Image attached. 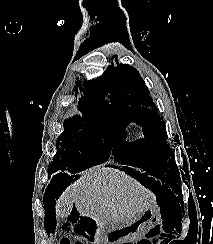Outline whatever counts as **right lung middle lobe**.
Returning <instances> with one entry per match:
<instances>
[{"mask_svg": "<svg viewBox=\"0 0 213 244\" xmlns=\"http://www.w3.org/2000/svg\"><path fill=\"white\" fill-rule=\"evenodd\" d=\"M78 111V115L64 120L65 129L56 143L59 154L54 156L49 173H58L65 168L76 173L107 161L113 156L115 160L121 161L115 155L120 149H116L110 143V114Z\"/></svg>", "mask_w": 213, "mask_h": 244, "instance_id": "right-lung-middle-lobe-1", "label": "right lung middle lobe"}]
</instances>
